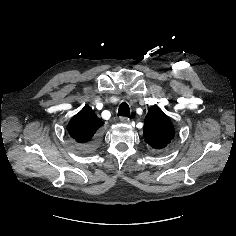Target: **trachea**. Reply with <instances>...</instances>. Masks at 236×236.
<instances>
[{"label":"trachea","mask_w":236,"mask_h":236,"mask_svg":"<svg viewBox=\"0 0 236 236\" xmlns=\"http://www.w3.org/2000/svg\"><path fill=\"white\" fill-rule=\"evenodd\" d=\"M118 116L129 117L130 116V108L127 103L123 102L119 106Z\"/></svg>","instance_id":"3493384b"}]
</instances>
